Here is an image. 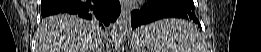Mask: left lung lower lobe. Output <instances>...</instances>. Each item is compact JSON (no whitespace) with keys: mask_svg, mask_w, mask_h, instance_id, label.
Listing matches in <instances>:
<instances>
[{"mask_svg":"<svg viewBox=\"0 0 261 52\" xmlns=\"http://www.w3.org/2000/svg\"><path fill=\"white\" fill-rule=\"evenodd\" d=\"M184 18L198 24L191 0H149L140 10L132 11V29L163 18Z\"/></svg>","mask_w":261,"mask_h":52,"instance_id":"left-lung-lower-lobe-1","label":"left lung lower lobe"}]
</instances>
